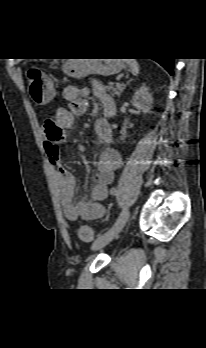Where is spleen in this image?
Segmentation results:
<instances>
[{"label": "spleen", "mask_w": 206, "mask_h": 348, "mask_svg": "<svg viewBox=\"0 0 206 348\" xmlns=\"http://www.w3.org/2000/svg\"><path fill=\"white\" fill-rule=\"evenodd\" d=\"M126 63L129 65L132 74L137 76L139 74L140 68L135 59H126Z\"/></svg>", "instance_id": "1"}]
</instances>
